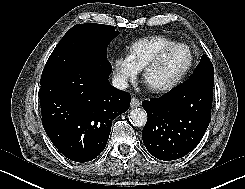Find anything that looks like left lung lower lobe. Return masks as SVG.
Returning a JSON list of instances; mask_svg holds the SVG:
<instances>
[{"label":"left lung lower lobe","instance_id":"1","mask_svg":"<svg viewBox=\"0 0 245 189\" xmlns=\"http://www.w3.org/2000/svg\"><path fill=\"white\" fill-rule=\"evenodd\" d=\"M213 86L192 78L160 98L142 102L148 115L142 139L151 155L175 160L198 145L211 120Z\"/></svg>","mask_w":245,"mask_h":189}]
</instances>
